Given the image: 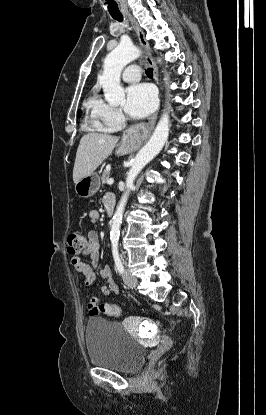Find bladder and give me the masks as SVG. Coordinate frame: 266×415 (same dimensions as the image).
<instances>
[{
	"instance_id": "obj_1",
	"label": "bladder",
	"mask_w": 266,
	"mask_h": 415,
	"mask_svg": "<svg viewBox=\"0 0 266 415\" xmlns=\"http://www.w3.org/2000/svg\"><path fill=\"white\" fill-rule=\"evenodd\" d=\"M88 359L94 366L132 373L146 358V349L117 322L93 317L86 324Z\"/></svg>"
}]
</instances>
